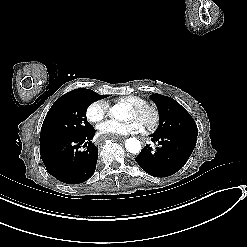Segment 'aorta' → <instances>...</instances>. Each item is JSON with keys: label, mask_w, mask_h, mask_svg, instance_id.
Segmentation results:
<instances>
[{"label": "aorta", "mask_w": 247, "mask_h": 247, "mask_svg": "<svg viewBox=\"0 0 247 247\" xmlns=\"http://www.w3.org/2000/svg\"><path fill=\"white\" fill-rule=\"evenodd\" d=\"M110 115L120 121H125L128 118L129 109L123 103L115 104L110 108ZM125 148L129 153L137 154L141 151V144L136 138H129L125 142Z\"/></svg>", "instance_id": "obj_1"}]
</instances>
